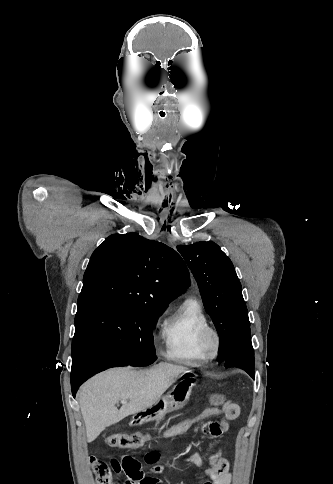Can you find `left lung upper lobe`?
<instances>
[{
	"label": "left lung upper lobe",
	"instance_id": "left-lung-upper-lobe-1",
	"mask_svg": "<svg viewBox=\"0 0 333 484\" xmlns=\"http://www.w3.org/2000/svg\"><path fill=\"white\" fill-rule=\"evenodd\" d=\"M177 249L192 271L205 310L219 333L218 361L225 363L233 339L244 326L250 324L242 287L234 266L214 242L179 245ZM233 366L245 370L242 366Z\"/></svg>",
	"mask_w": 333,
	"mask_h": 484
}]
</instances>
